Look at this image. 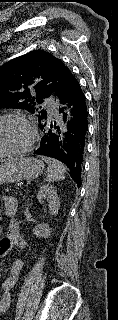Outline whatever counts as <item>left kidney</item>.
<instances>
[{
    "label": "left kidney",
    "instance_id": "5707ae66",
    "mask_svg": "<svg viewBox=\"0 0 118 320\" xmlns=\"http://www.w3.org/2000/svg\"><path fill=\"white\" fill-rule=\"evenodd\" d=\"M37 199L40 203L47 201L49 212L51 215H57L60 207V199L57 195V190L51 185H43L40 187ZM49 232V226L47 224L37 225L34 229V234L37 237H44Z\"/></svg>",
    "mask_w": 118,
    "mask_h": 320
}]
</instances>
